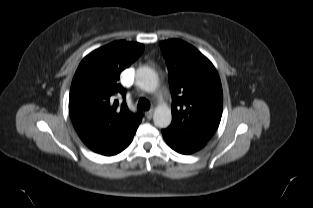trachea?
Instances as JSON below:
<instances>
[{
    "mask_svg": "<svg viewBox=\"0 0 313 208\" xmlns=\"http://www.w3.org/2000/svg\"><path fill=\"white\" fill-rule=\"evenodd\" d=\"M138 108L141 110H149L150 102L145 98H141L138 102Z\"/></svg>",
    "mask_w": 313,
    "mask_h": 208,
    "instance_id": "3493384b",
    "label": "trachea"
}]
</instances>
